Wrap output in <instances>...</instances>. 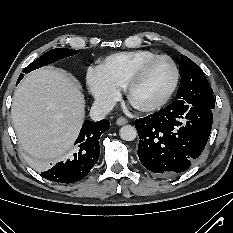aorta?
Returning a JSON list of instances; mask_svg holds the SVG:
<instances>
[{
  "instance_id": "obj_1",
  "label": "aorta",
  "mask_w": 233,
  "mask_h": 233,
  "mask_svg": "<svg viewBox=\"0 0 233 233\" xmlns=\"http://www.w3.org/2000/svg\"><path fill=\"white\" fill-rule=\"evenodd\" d=\"M120 137L126 141H132L137 136L136 129L131 125L122 126L120 129Z\"/></svg>"
}]
</instances>
